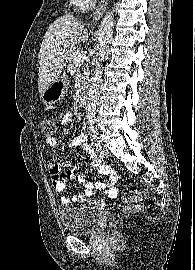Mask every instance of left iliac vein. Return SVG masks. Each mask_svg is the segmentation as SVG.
<instances>
[{"instance_id": "left-iliac-vein-1", "label": "left iliac vein", "mask_w": 195, "mask_h": 270, "mask_svg": "<svg viewBox=\"0 0 195 270\" xmlns=\"http://www.w3.org/2000/svg\"><path fill=\"white\" fill-rule=\"evenodd\" d=\"M95 145H96L101 157H108L109 156L108 149L101 143V141L99 139L96 140Z\"/></svg>"}]
</instances>
